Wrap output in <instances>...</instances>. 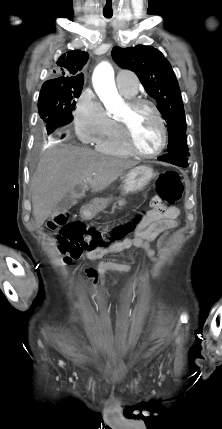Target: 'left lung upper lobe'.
Listing matches in <instances>:
<instances>
[{
  "label": "left lung upper lobe",
  "mask_w": 222,
  "mask_h": 429,
  "mask_svg": "<svg viewBox=\"0 0 222 429\" xmlns=\"http://www.w3.org/2000/svg\"><path fill=\"white\" fill-rule=\"evenodd\" d=\"M114 61L136 73L146 92L157 100L167 123L168 153L190 156L186 140V119L176 76L163 54L151 46L112 49Z\"/></svg>",
  "instance_id": "5c2ea615"
}]
</instances>
